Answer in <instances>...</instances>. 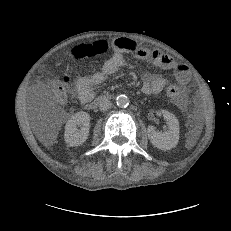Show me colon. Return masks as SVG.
I'll return each instance as SVG.
<instances>
[{
	"label": "colon",
	"mask_w": 231,
	"mask_h": 231,
	"mask_svg": "<svg viewBox=\"0 0 231 231\" xmlns=\"http://www.w3.org/2000/svg\"><path fill=\"white\" fill-rule=\"evenodd\" d=\"M111 49L110 43L107 41H99L94 43L88 49H86L82 54L90 56H102L108 53ZM53 88L52 96L58 102H63L66 99L67 85L70 82L69 77L65 76L61 80L57 77L53 78ZM167 93L174 97L178 94V88L176 86H169Z\"/></svg>",
	"instance_id": "colon-1"
}]
</instances>
